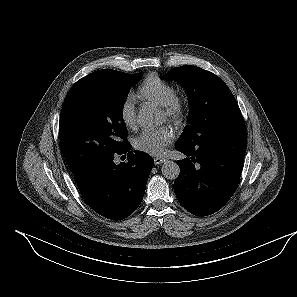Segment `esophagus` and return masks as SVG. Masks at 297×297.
<instances>
[{"label": "esophagus", "mask_w": 297, "mask_h": 297, "mask_svg": "<svg viewBox=\"0 0 297 297\" xmlns=\"http://www.w3.org/2000/svg\"><path fill=\"white\" fill-rule=\"evenodd\" d=\"M163 162H165V159H164V158H161V157H155V158H154V163H155V165H160V164H162Z\"/></svg>", "instance_id": "esophagus-1"}]
</instances>
